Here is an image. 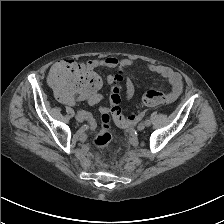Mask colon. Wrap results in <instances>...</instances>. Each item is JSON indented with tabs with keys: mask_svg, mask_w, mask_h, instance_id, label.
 <instances>
[{
	"mask_svg": "<svg viewBox=\"0 0 224 224\" xmlns=\"http://www.w3.org/2000/svg\"><path fill=\"white\" fill-rule=\"evenodd\" d=\"M122 80V73L114 76L110 93V111L102 114L100 129L93 138V143L97 147H105L111 142V119L122 128H128L135 122V114L127 118L122 114ZM48 81L58 99L67 105H73L80 100L94 99L101 87V78L98 74L71 60H62L53 65L48 74ZM142 102L147 106L168 103V93L150 90L144 94Z\"/></svg>",
	"mask_w": 224,
	"mask_h": 224,
	"instance_id": "colon-1",
	"label": "colon"
}]
</instances>
